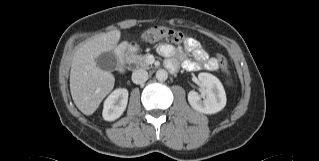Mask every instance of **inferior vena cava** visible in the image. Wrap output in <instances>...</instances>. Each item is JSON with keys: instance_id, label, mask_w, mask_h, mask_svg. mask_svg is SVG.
Instances as JSON below:
<instances>
[{"instance_id": "inferior-vena-cava-1", "label": "inferior vena cava", "mask_w": 319, "mask_h": 161, "mask_svg": "<svg viewBox=\"0 0 319 161\" xmlns=\"http://www.w3.org/2000/svg\"><path fill=\"white\" fill-rule=\"evenodd\" d=\"M148 79V72L142 69L135 70L132 74V81L135 84L145 83Z\"/></svg>"}]
</instances>
